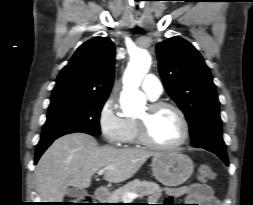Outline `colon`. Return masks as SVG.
Wrapping results in <instances>:
<instances>
[{"label":"colon","instance_id":"obj_1","mask_svg":"<svg viewBox=\"0 0 253 205\" xmlns=\"http://www.w3.org/2000/svg\"><path fill=\"white\" fill-rule=\"evenodd\" d=\"M197 179L200 183H206L214 179V171L207 163H201L197 170ZM73 205H92L90 196H82L75 199Z\"/></svg>","mask_w":253,"mask_h":205}]
</instances>
